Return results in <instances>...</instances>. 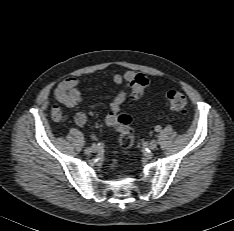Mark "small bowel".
<instances>
[{
	"label": "small bowel",
	"instance_id": "1",
	"mask_svg": "<svg viewBox=\"0 0 234 231\" xmlns=\"http://www.w3.org/2000/svg\"><path fill=\"white\" fill-rule=\"evenodd\" d=\"M111 81L119 86H130L132 84V80L134 78V74L131 72H127L124 75L119 73H112ZM80 79L78 77H70L64 79L59 83L56 87L54 95L57 102L65 107H74L83 102V97L81 91L79 89ZM126 94L124 91H120L113 98L110 103V111L105 116V124L107 126H114L118 120V114L120 108L125 101ZM51 116L53 120L58 121L62 118V110L61 107L56 105L52 108ZM74 120L78 125H84L86 123L87 117L84 112L76 113Z\"/></svg>",
	"mask_w": 234,
	"mask_h": 231
}]
</instances>
